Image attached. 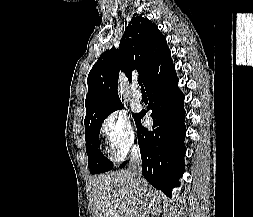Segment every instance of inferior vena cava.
<instances>
[{"mask_svg": "<svg viewBox=\"0 0 253 217\" xmlns=\"http://www.w3.org/2000/svg\"><path fill=\"white\" fill-rule=\"evenodd\" d=\"M141 156L138 148H135L130 157V162L128 166V170L131 172L132 176L135 178L136 183L138 184L141 178ZM137 193H142V188H137ZM141 217H146V213L144 212Z\"/></svg>", "mask_w": 253, "mask_h": 217, "instance_id": "inferior-vena-cava-1", "label": "inferior vena cava"}]
</instances>
